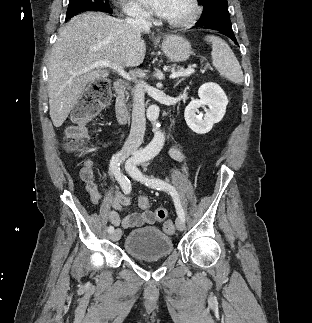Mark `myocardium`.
<instances>
[{
	"label": "myocardium",
	"instance_id": "obj_1",
	"mask_svg": "<svg viewBox=\"0 0 312 323\" xmlns=\"http://www.w3.org/2000/svg\"><path fill=\"white\" fill-rule=\"evenodd\" d=\"M199 0H185L186 4H190L186 8V16H178V18H170V25H191L193 21H200L201 15L205 11V4L198 3Z\"/></svg>",
	"mask_w": 312,
	"mask_h": 323
}]
</instances>
